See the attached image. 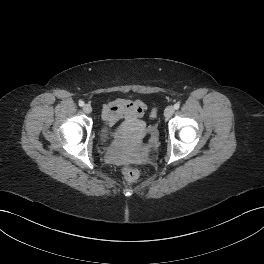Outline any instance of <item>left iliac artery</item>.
I'll return each mask as SVG.
<instances>
[{
  "label": "left iliac artery",
  "mask_w": 264,
  "mask_h": 264,
  "mask_svg": "<svg viewBox=\"0 0 264 264\" xmlns=\"http://www.w3.org/2000/svg\"><path fill=\"white\" fill-rule=\"evenodd\" d=\"M179 107H180V104L179 103H176L175 105H174V109H179Z\"/></svg>",
  "instance_id": "left-iliac-artery-1"
}]
</instances>
